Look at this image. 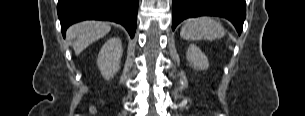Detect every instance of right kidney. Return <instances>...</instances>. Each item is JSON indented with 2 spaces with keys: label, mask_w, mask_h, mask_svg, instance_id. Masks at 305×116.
<instances>
[{
  "label": "right kidney",
  "mask_w": 305,
  "mask_h": 116,
  "mask_svg": "<svg viewBox=\"0 0 305 116\" xmlns=\"http://www.w3.org/2000/svg\"><path fill=\"white\" fill-rule=\"evenodd\" d=\"M122 44L118 37L109 39L101 48L97 64L102 76L109 80L113 78L120 68V60L122 57Z\"/></svg>",
  "instance_id": "right-kidney-1"
}]
</instances>
